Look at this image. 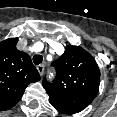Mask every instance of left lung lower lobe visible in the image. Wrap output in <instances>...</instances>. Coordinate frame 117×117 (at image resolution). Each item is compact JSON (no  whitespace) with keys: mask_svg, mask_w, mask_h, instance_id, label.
<instances>
[{"mask_svg":"<svg viewBox=\"0 0 117 117\" xmlns=\"http://www.w3.org/2000/svg\"><path fill=\"white\" fill-rule=\"evenodd\" d=\"M56 110H58L60 113L63 114H74V112L72 110H70L69 108H66L64 106H53Z\"/></svg>","mask_w":117,"mask_h":117,"instance_id":"obj_1","label":"left lung lower lobe"}]
</instances>
